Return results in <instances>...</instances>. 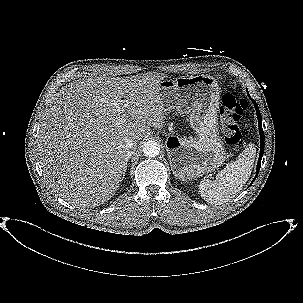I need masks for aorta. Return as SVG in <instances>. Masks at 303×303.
<instances>
[{"mask_svg":"<svg viewBox=\"0 0 303 303\" xmlns=\"http://www.w3.org/2000/svg\"><path fill=\"white\" fill-rule=\"evenodd\" d=\"M143 152L146 157H156L160 153V147L155 141H147L143 146Z\"/></svg>","mask_w":303,"mask_h":303,"instance_id":"762f6f07","label":"aorta"}]
</instances>
